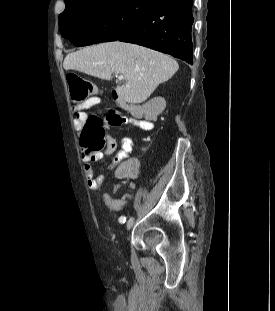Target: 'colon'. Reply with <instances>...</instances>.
<instances>
[{"label": "colon", "mask_w": 275, "mask_h": 311, "mask_svg": "<svg viewBox=\"0 0 275 311\" xmlns=\"http://www.w3.org/2000/svg\"><path fill=\"white\" fill-rule=\"evenodd\" d=\"M67 82L71 90V101L74 105L82 103L100 104V97H94L96 89L91 82L75 73L67 75ZM123 119V116L115 110H108L105 113L104 120L94 115L88 116L82 130L84 142L92 150L104 151L108 147L106 125H122Z\"/></svg>", "instance_id": "colon-1"}]
</instances>
